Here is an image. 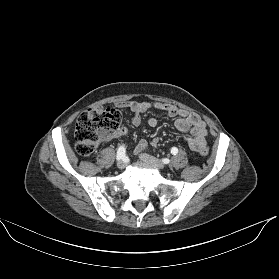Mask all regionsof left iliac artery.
Here are the masks:
<instances>
[{
    "label": "left iliac artery",
    "instance_id": "obj_1",
    "mask_svg": "<svg viewBox=\"0 0 279 279\" xmlns=\"http://www.w3.org/2000/svg\"><path fill=\"white\" fill-rule=\"evenodd\" d=\"M171 153H172L173 155H176V154L178 153V149H177L176 147H172V148H171ZM163 162H164L165 164H167V163H169V160H168V159H163Z\"/></svg>",
    "mask_w": 279,
    "mask_h": 279
}]
</instances>
